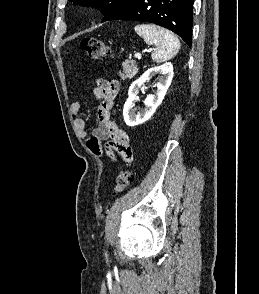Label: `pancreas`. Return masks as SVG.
<instances>
[{
	"label": "pancreas",
	"instance_id": "obj_1",
	"mask_svg": "<svg viewBox=\"0 0 259 294\" xmlns=\"http://www.w3.org/2000/svg\"><path fill=\"white\" fill-rule=\"evenodd\" d=\"M123 71L120 72V77L122 80L133 78L138 72L137 64L132 60H126L122 64Z\"/></svg>",
	"mask_w": 259,
	"mask_h": 294
}]
</instances>
